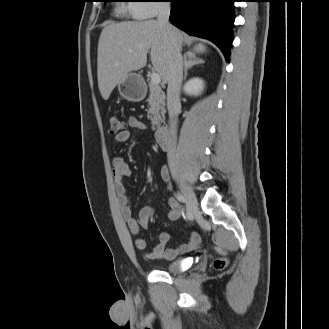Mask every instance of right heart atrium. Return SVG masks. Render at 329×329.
Segmentation results:
<instances>
[{"mask_svg":"<svg viewBox=\"0 0 329 329\" xmlns=\"http://www.w3.org/2000/svg\"><path fill=\"white\" fill-rule=\"evenodd\" d=\"M165 0H134L130 12L135 19H148L165 9Z\"/></svg>","mask_w":329,"mask_h":329,"instance_id":"1","label":"right heart atrium"}]
</instances>
